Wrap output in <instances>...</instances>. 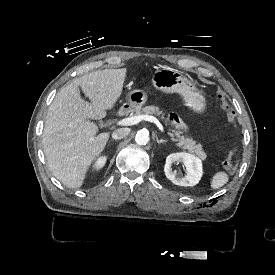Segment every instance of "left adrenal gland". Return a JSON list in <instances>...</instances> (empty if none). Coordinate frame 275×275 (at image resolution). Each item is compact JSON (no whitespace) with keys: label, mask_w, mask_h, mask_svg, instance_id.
I'll list each match as a JSON object with an SVG mask.
<instances>
[{"label":"left adrenal gland","mask_w":275,"mask_h":275,"mask_svg":"<svg viewBox=\"0 0 275 275\" xmlns=\"http://www.w3.org/2000/svg\"><path fill=\"white\" fill-rule=\"evenodd\" d=\"M155 138H156V141H157L158 144L167 142V140H164V139H160L159 140L158 137H157V135H155Z\"/></svg>","instance_id":"left-adrenal-gland-1"}]
</instances>
